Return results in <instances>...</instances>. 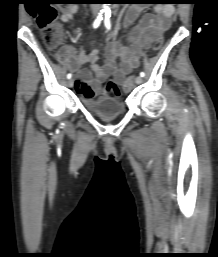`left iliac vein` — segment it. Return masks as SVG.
<instances>
[{
  "instance_id": "4c4485c4",
  "label": "left iliac vein",
  "mask_w": 218,
  "mask_h": 257,
  "mask_svg": "<svg viewBox=\"0 0 218 257\" xmlns=\"http://www.w3.org/2000/svg\"><path fill=\"white\" fill-rule=\"evenodd\" d=\"M136 84H141L142 83V77L138 76L135 80Z\"/></svg>"
}]
</instances>
